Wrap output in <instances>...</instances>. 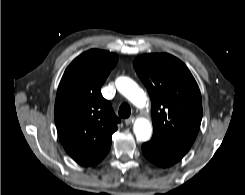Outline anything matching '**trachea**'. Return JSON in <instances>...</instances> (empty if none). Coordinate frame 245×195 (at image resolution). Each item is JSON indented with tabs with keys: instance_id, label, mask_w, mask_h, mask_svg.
I'll use <instances>...</instances> for the list:
<instances>
[{
	"instance_id": "trachea-1",
	"label": "trachea",
	"mask_w": 245,
	"mask_h": 195,
	"mask_svg": "<svg viewBox=\"0 0 245 195\" xmlns=\"http://www.w3.org/2000/svg\"><path fill=\"white\" fill-rule=\"evenodd\" d=\"M131 114L130 106L127 103L121 104L119 107V116L121 118H128Z\"/></svg>"
}]
</instances>
